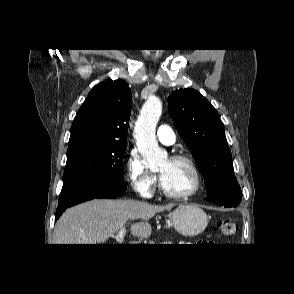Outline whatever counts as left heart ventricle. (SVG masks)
Here are the masks:
<instances>
[{"mask_svg": "<svg viewBox=\"0 0 294 294\" xmlns=\"http://www.w3.org/2000/svg\"><path fill=\"white\" fill-rule=\"evenodd\" d=\"M164 187L176 194L189 192L194 186V174L184 162L165 160L158 168Z\"/></svg>", "mask_w": 294, "mask_h": 294, "instance_id": "1", "label": "left heart ventricle"}]
</instances>
